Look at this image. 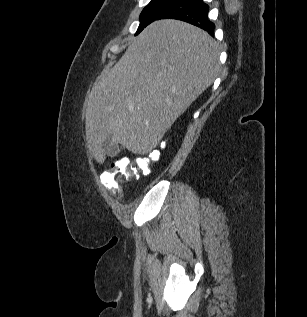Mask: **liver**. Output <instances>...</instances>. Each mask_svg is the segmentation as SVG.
<instances>
[{"label": "liver", "mask_w": 307, "mask_h": 317, "mask_svg": "<svg viewBox=\"0 0 307 317\" xmlns=\"http://www.w3.org/2000/svg\"><path fill=\"white\" fill-rule=\"evenodd\" d=\"M219 68L218 44L207 32L171 19L150 24L86 97V138L95 160L102 164L118 143L149 153Z\"/></svg>", "instance_id": "liver-1"}]
</instances>
